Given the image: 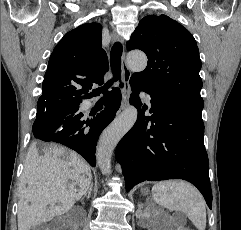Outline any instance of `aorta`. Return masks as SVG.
<instances>
[{
    "mask_svg": "<svg viewBox=\"0 0 241 230\" xmlns=\"http://www.w3.org/2000/svg\"><path fill=\"white\" fill-rule=\"evenodd\" d=\"M127 64L133 72H141L147 66V56L142 52H130ZM137 120V109L133 106L126 108L104 131L96 152L97 163L103 174H109L111 157L121 138L133 127Z\"/></svg>",
    "mask_w": 241,
    "mask_h": 230,
    "instance_id": "1",
    "label": "aorta"
}]
</instances>
